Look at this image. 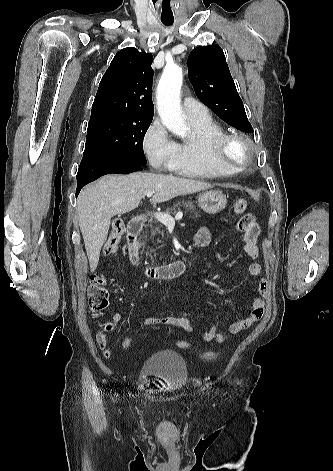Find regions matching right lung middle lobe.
Segmentation results:
<instances>
[{"instance_id":"1","label":"right lung middle lobe","mask_w":333,"mask_h":471,"mask_svg":"<svg viewBox=\"0 0 333 471\" xmlns=\"http://www.w3.org/2000/svg\"><path fill=\"white\" fill-rule=\"evenodd\" d=\"M153 117L103 114L90 117L82 161L114 160L147 164L143 139Z\"/></svg>"}]
</instances>
